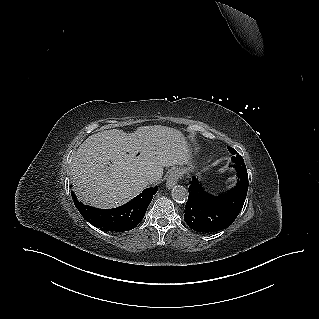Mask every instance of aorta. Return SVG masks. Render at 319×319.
<instances>
[{
	"instance_id": "obj_1",
	"label": "aorta",
	"mask_w": 319,
	"mask_h": 319,
	"mask_svg": "<svg viewBox=\"0 0 319 319\" xmlns=\"http://www.w3.org/2000/svg\"><path fill=\"white\" fill-rule=\"evenodd\" d=\"M188 191L181 185H176L172 189V197L178 203H184L188 199Z\"/></svg>"
}]
</instances>
